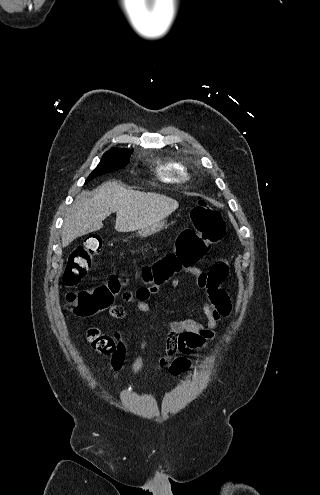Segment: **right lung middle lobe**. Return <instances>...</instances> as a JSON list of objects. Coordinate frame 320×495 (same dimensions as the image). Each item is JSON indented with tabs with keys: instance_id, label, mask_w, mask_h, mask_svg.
<instances>
[{
	"instance_id": "right-lung-middle-lobe-1",
	"label": "right lung middle lobe",
	"mask_w": 320,
	"mask_h": 495,
	"mask_svg": "<svg viewBox=\"0 0 320 495\" xmlns=\"http://www.w3.org/2000/svg\"><path fill=\"white\" fill-rule=\"evenodd\" d=\"M130 150H112L104 154L97 168L90 174L86 182L96 176L124 168L129 161Z\"/></svg>"
}]
</instances>
